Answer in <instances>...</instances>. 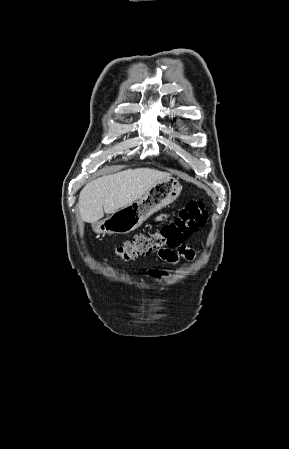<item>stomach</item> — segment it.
Returning <instances> with one entry per match:
<instances>
[{
    "label": "stomach",
    "mask_w": 289,
    "mask_h": 449,
    "mask_svg": "<svg viewBox=\"0 0 289 449\" xmlns=\"http://www.w3.org/2000/svg\"><path fill=\"white\" fill-rule=\"evenodd\" d=\"M181 191L179 180L168 176L154 184L138 201L93 224V229L103 235L129 233L141 226L152 214L174 202Z\"/></svg>",
    "instance_id": "0dacf381"
}]
</instances>
